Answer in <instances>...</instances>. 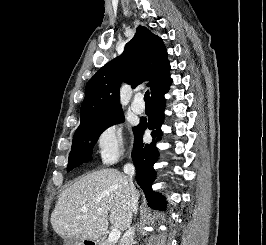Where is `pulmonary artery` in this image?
<instances>
[{
  "label": "pulmonary artery",
  "instance_id": "1",
  "mask_svg": "<svg viewBox=\"0 0 266 245\" xmlns=\"http://www.w3.org/2000/svg\"><path fill=\"white\" fill-rule=\"evenodd\" d=\"M142 99H143V95L141 93H138L135 95L131 103V109L136 114H142L145 111V105L141 103Z\"/></svg>",
  "mask_w": 266,
  "mask_h": 245
}]
</instances>
